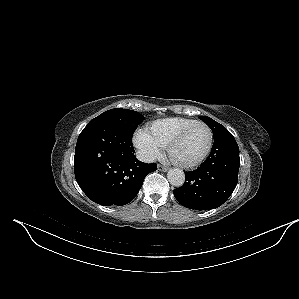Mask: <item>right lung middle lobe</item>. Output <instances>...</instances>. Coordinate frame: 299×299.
I'll list each match as a JSON object with an SVG mask.
<instances>
[{
  "label": "right lung middle lobe",
  "mask_w": 299,
  "mask_h": 299,
  "mask_svg": "<svg viewBox=\"0 0 299 299\" xmlns=\"http://www.w3.org/2000/svg\"><path fill=\"white\" fill-rule=\"evenodd\" d=\"M143 119L144 117L136 111L116 108L100 114L91 121L101 120L112 123L132 136Z\"/></svg>",
  "instance_id": "dd1d6c3e"
}]
</instances>
